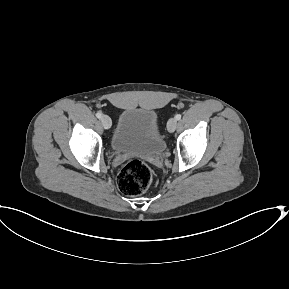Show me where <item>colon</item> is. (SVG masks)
Segmentation results:
<instances>
[{
	"mask_svg": "<svg viewBox=\"0 0 289 289\" xmlns=\"http://www.w3.org/2000/svg\"><path fill=\"white\" fill-rule=\"evenodd\" d=\"M152 180L151 168L139 159H132L121 169L117 184L122 193L138 196L150 187Z\"/></svg>",
	"mask_w": 289,
	"mask_h": 289,
	"instance_id": "5ec220e1",
	"label": "colon"
}]
</instances>
